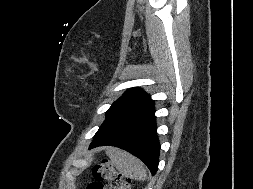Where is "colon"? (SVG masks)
I'll return each instance as SVG.
<instances>
[{
    "label": "colon",
    "instance_id": "colon-1",
    "mask_svg": "<svg viewBox=\"0 0 253 189\" xmlns=\"http://www.w3.org/2000/svg\"><path fill=\"white\" fill-rule=\"evenodd\" d=\"M93 181L86 189H131V179L116 170L110 161L100 160L92 169Z\"/></svg>",
    "mask_w": 253,
    "mask_h": 189
}]
</instances>
